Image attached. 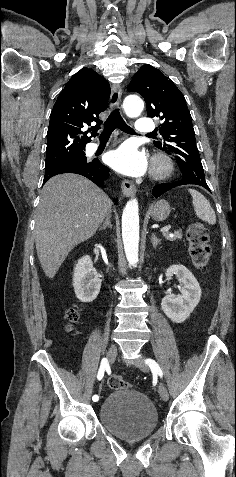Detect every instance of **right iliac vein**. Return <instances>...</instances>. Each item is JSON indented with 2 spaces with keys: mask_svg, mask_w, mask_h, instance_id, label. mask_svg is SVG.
Listing matches in <instances>:
<instances>
[{
  "mask_svg": "<svg viewBox=\"0 0 236 477\" xmlns=\"http://www.w3.org/2000/svg\"><path fill=\"white\" fill-rule=\"evenodd\" d=\"M116 355H117V346L116 344L112 343L108 350V360L110 363H112L115 360ZM96 388H97L96 389L97 395L100 396V391L101 389H105V386L102 384H99L97 385ZM100 399L102 400L103 398H101L100 396Z\"/></svg>",
  "mask_w": 236,
  "mask_h": 477,
  "instance_id": "right-iliac-vein-1",
  "label": "right iliac vein"
}]
</instances>
